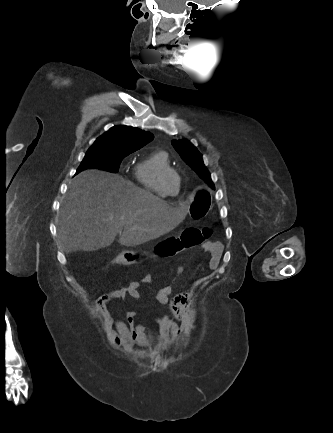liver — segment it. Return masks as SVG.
Masks as SVG:
<instances>
[{
	"label": "liver",
	"mask_w": 333,
	"mask_h": 433,
	"mask_svg": "<svg viewBox=\"0 0 333 433\" xmlns=\"http://www.w3.org/2000/svg\"><path fill=\"white\" fill-rule=\"evenodd\" d=\"M186 209V201L167 204L119 175L85 170L69 184L58 235L67 253L110 246L118 234L121 245L137 246L173 230Z\"/></svg>",
	"instance_id": "6515ba94"
}]
</instances>
